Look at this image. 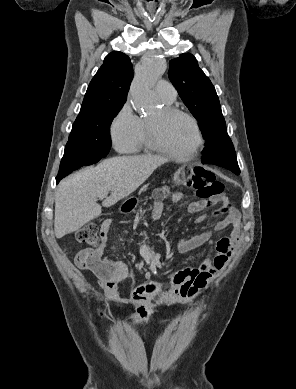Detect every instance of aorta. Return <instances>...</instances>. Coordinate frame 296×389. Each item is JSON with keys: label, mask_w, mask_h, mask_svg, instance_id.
<instances>
[{"label": "aorta", "mask_w": 296, "mask_h": 389, "mask_svg": "<svg viewBox=\"0 0 296 389\" xmlns=\"http://www.w3.org/2000/svg\"><path fill=\"white\" fill-rule=\"evenodd\" d=\"M166 70V61L157 54L149 55L136 69L130 94L133 105L137 109H149L156 101L152 88Z\"/></svg>", "instance_id": "aorta-1"}]
</instances>
